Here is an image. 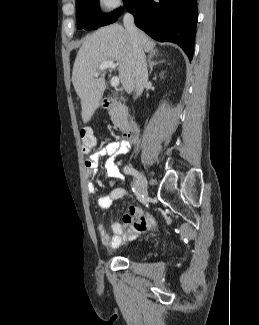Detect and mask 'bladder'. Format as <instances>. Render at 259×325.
<instances>
[{
  "instance_id": "bladder-1",
  "label": "bladder",
  "mask_w": 259,
  "mask_h": 325,
  "mask_svg": "<svg viewBox=\"0 0 259 325\" xmlns=\"http://www.w3.org/2000/svg\"><path fill=\"white\" fill-rule=\"evenodd\" d=\"M132 249H128L127 251H131Z\"/></svg>"
}]
</instances>
